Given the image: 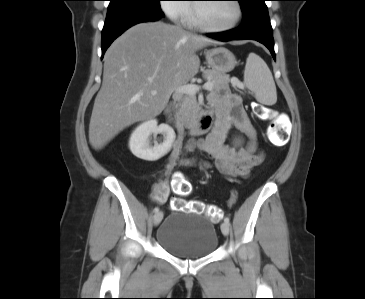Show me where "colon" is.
I'll return each mask as SVG.
<instances>
[{"label": "colon", "mask_w": 365, "mask_h": 299, "mask_svg": "<svg viewBox=\"0 0 365 299\" xmlns=\"http://www.w3.org/2000/svg\"><path fill=\"white\" fill-rule=\"evenodd\" d=\"M257 115L263 120L270 121L267 131L268 139L277 145L285 144L288 139V133L283 122L276 116L275 112L266 106L259 105L257 107ZM172 186L173 190L180 196L187 195L191 191L190 183L183 177L173 179ZM172 208L185 212L205 214L214 222H218L222 217V211L218 206L205 204L200 201H187L183 198H177L173 201Z\"/></svg>", "instance_id": "1"}]
</instances>
